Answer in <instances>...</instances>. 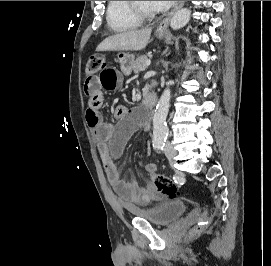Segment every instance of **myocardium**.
<instances>
[{"mask_svg":"<svg viewBox=\"0 0 271 266\" xmlns=\"http://www.w3.org/2000/svg\"><path fill=\"white\" fill-rule=\"evenodd\" d=\"M136 3V1H128L129 10L137 19H139L141 22H145L155 18L154 12L144 11L143 9L137 7Z\"/></svg>","mask_w":271,"mask_h":266,"instance_id":"f54148a6","label":"myocardium"}]
</instances>
